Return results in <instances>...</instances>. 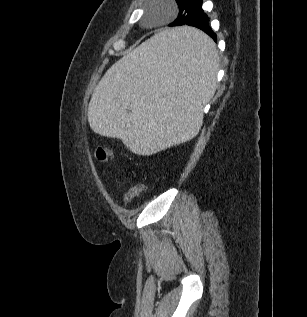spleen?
<instances>
[{
  "instance_id": "spleen-1",
  "label": "spleen",
  "mask_w": 307,
  "mask_h": 317,
  "mask_svg": "<svg viewBox=\"0 0 307 317\" xmlns=\"http://www.w3.org/2000/svg\"><path fill=\"white\" fill-rule=\"evenodd\" d=\"M217 61L201 29H161L100 81L91 97V128L120 138L135 155L171 150L199 132L203 107L215 92Z\"/></svg>"
}]
</instances>
